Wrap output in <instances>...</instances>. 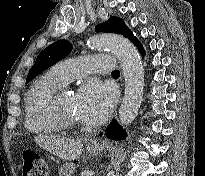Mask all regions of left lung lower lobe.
Instances as JSON below:
<instances>
[{
  "instance_id": "0a47b994",
  "label": "left lung lower lobe",
  "mask_w": 205,
  "mask_h": 176,
  "mask_svg": "<svg viewBox=\"0 0 205 176\" xmlns=\"http://www.w3.org/2000/svg\"><path fill=\"white\" fill-rule=\"evenodd\" d=\"M128 39L138 48L139 52L143 55V47L139 40L131 32ZM102 133L100 134V136ZM106 136L113 140H123L126 139V131L122 128L119 123L114 120L106 129Z\"/></svg>"
}]
</instances>
